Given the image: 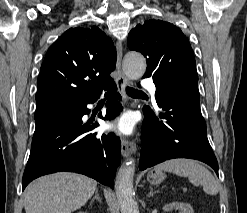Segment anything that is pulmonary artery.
I'll return each instance as SVG.
<instances>
[{
	"instance_id": "obj_1",
	"label": "pulmonary artery",
	"mask_w": 247,
	"mask_h": 213,
	"mask_svg": "<svg viewBox=\"0 0 247 213\" xmlns=\"http://www.w3.org/2000/svg\"><path fill=\"white\" fill-rule=\"evenodd\" d=\"M143 87L149 91V93L152 95V97L155 96V93L157 91L155 85L148 79H145L143 81Z\"/></svg>"
}]
</instances>
